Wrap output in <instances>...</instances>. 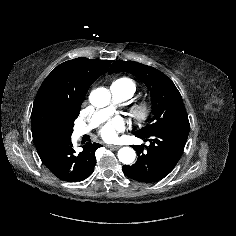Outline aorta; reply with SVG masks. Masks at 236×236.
Listing matches in <instances>:
<instances>
[{
	"label": "aorta",
	"mask_w": 236,
	"mask_h": 236,
	"mask_svg": "<svg viewBox=\"0 0 236 236\" xmlns=\"http://www.w3.org/2000/svg\"><path fill=\"white\" fill-rule=\"evenodd\" d=\"M111 94L106 88H97L90 93V103L98 108L109 105ZM136 153L131 147H123L118 151V159L123 164H131L135 160Z\"/></svg>",
	"instance_id": "obj_1"
}]
</instances>
